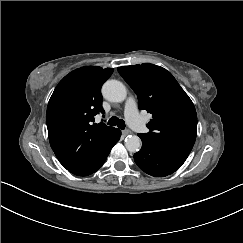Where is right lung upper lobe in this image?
<instances>
[{"mask_svg": "<svg viewBox=\"0 0 243 243\" xmlns=\"http://www.w3.org/2000/svg\"><path fill=\"white\" fill-rule=\"evenodd\" d=\"M113 69L87 66L73 70L56 86L47 107L50 145L67 169L91 160L120 130L94 123L102 113L101 87Z\"/></svg>", "mask_w": 243, "mask_h": 243, "instance_id": "cb5924a9", "label": "right lung upper lobe"}]
</instances>
